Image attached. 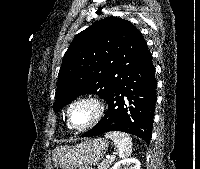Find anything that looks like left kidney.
<instances>
[{
  "label": "left kidney",
  "mask_w": 200,
  "mask_h": 169,
  "mask_svg": "<svg viewBox=\"0 0 200 169\" xmlns=\"http://www.w3.org/2000/svg\"><path fill=\"white\" fill-rule=\"evenodd\" d=\"M111 169H140V162L135 158H126L116 162Z\"/></svg>",
  "instance_id": "1"
}]
</instances>
